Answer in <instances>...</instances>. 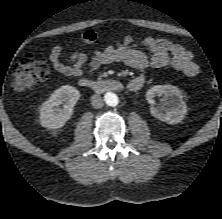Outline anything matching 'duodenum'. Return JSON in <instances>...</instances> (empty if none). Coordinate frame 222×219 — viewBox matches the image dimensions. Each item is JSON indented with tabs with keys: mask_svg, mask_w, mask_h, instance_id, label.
Instances as JSON below:
<instances>
[{
	"mask_svg": "<svg viewBox=\"0 0 222 219\" xmlns=\"http://www.w3.org/2000/svg\"><path fill=\"white\" fill-rule=\"evenodd\" d=\"M81 84L91 90L97 91V92H105L108 90H122L125 87L131 91H137L142 87V82L140 81H131L126 86L114 79L109 80H103V81H92V80H81Z\"/></svg>",
	"mask_w": 222,
	"mask_h": 219,
	"instance_id": "duodenum-1",
	"label": "duodenum"
}]
</instances>
